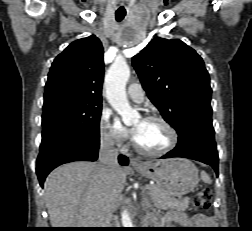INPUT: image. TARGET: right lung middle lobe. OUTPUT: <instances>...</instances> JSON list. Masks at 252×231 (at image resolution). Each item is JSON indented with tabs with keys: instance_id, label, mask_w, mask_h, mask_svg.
Returning <instances> with one entry per match:
<instances>
[{
	"instance_id": "right-lung-middle-lobe-1",
	"label": "right lung middle lobe",
	"mask_w": 252,
	"mask_h": 231,
	"mask_svg": "<svg viewBox=\"0 0 252 231\" xmlns=\"http://www.w3.org/2000/svg\"><path fill=\"white\" fill-rule=\"evenodd\" d=\"M102 101L57 95L44 100L42 140L59 133L99 137Z\"/></svg>"
}]
</instances>
